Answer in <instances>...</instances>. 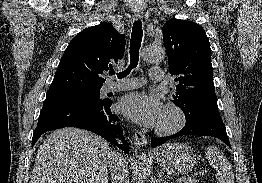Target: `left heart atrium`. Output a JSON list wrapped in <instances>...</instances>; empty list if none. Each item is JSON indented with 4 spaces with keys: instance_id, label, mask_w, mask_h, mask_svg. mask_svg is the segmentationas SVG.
Returning a JSON list of instances; mask_svg holds the SVG:
<instances>
[{
    "instance_id": "obj_1",
    "label": "left heart atrium",
    "mask_w": 262,
    "mask_h": 183,
    "mask_svg": "<svg viewBox=\"0 0 262 183\" xmlns=\"http://www.w3.org/2000/svg\"><path fill=\"white\" fill-rule=\"evenodd\" d=\"M119 109L137 124L148 128L159 125L164 111L157 97L144 93H133L123 97Z\"/></svg>"
}]
</instances>
